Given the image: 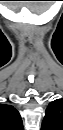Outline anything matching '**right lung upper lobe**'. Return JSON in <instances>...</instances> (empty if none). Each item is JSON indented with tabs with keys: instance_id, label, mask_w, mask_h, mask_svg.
<instances>
[{
	"instance_id": "1",
	"label": "right lung upper lobe",
	"mask_w": 63,
	"mask_h": 130,
	"mask_svg": "<svg viewBox=\"0 0 63 130\" xmlns=\"http://www.w3.org/2000/svg\"><path fill=\"white\" fill-rule=\"evenodd\" d=\"M0 129L23 130V123L19 112L11 105H0Z\"/></svg>"
}]
</instances>
